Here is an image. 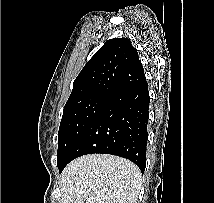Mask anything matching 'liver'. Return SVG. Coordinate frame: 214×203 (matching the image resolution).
I'll use <instances>...</instances> for the list:
<instances>
[{
    "mask_svg": "<svg viewBox=\"0 0 214 203\" xmlns=\"http://www.w3.org/2000/svg\"><path fill=\"white\" fill-rule=\"evenodd\" d=\"M139 168L109 154H89L70 162L60 178L62 203H137Z\"/></svg>",
    "mask_w": 214,
    "mask_h": 203,
    "instance_id": "1",
    "label": "liver"
}]
</instances>
